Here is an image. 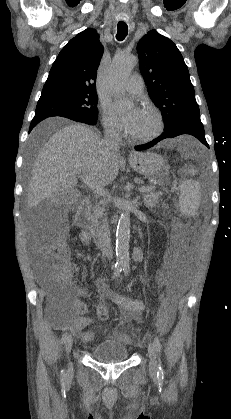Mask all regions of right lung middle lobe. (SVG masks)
<instances>
[{"instance_id":"obj_1","label":"right lung middle lobe","mask_w":231,"mask_h":419,"mask_svg":"<svg viewBox=\"0 0 231 419\" xmlns=\"http://www.w3.org/2000/svg\"><path fill=\"white\" fill-rule=\"evenodd\" d=\"M98 97L95 91L65 86L43 87L35 115L66 117L79 122H96Z\"/></svg>"}]
</instances>
